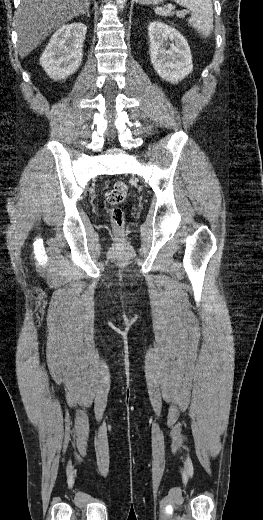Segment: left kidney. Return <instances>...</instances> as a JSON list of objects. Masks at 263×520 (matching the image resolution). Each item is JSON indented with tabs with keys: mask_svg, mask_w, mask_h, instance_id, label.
<instances>
[{
	"mask_svg": "<svg viewBox=\"0 0 263 520\" xmlns=\"http://www.w3.org/2000/svg\"><path fill=\"white\" fill-rule=\"evenodd\" d=\"M148 36L151 63L161 78L177 83L192 72L190 47L175 28L153 21L148 26Z\"/></svg>",
	"mask_w": 263,
	"mask_h": 520,
	"instance_id": "left-kidney-1",
	"label": "left kidney"
}]
</instances>
